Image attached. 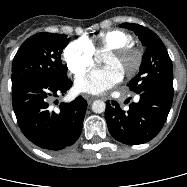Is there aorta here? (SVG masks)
Wrapping results in <instances>:
<instances>
[{
    "mask_svg": "<svg viewBox=\"0 0 187 187\" xmlns=\"http://www.w3.org/2000/svg\"><path fill=\"white\" fill-rule=\"evenodd\" d=\"M105 109H106V104L101 100H96L92 103V111L94 113L97 114L103 113Z\"/></svg>",
    "mask_w": 187,
    "mask_h": 187,
    "instance_id": "762f6f07",
    "label": "aorta"
}]
</instances>
